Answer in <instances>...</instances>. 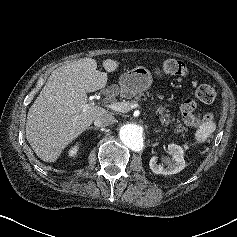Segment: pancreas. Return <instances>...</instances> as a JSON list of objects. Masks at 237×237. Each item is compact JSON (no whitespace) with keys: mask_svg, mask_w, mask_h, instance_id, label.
Instances as JSON below:
<instances>
[{"mask_svg":"<svg viewBox=\"0 0 237 237\" xmlns=\"http://www.w3.org/2000/svg\"><path fill=\"white\" fill-rule=\"evenodd\" d=\"M140 101H142L141 95L135 97L130 102L128 101V102H124V103L135 104V103H138ZM168 112H169V110H167L165 107H159L157 109V113L159 114V121L164 126H167V125H169V124H171L175 121V118L171 117ZM177 122L179 123L178 119H177ZM184 130H186V128L184 126H182V124L179 123L178 125H175V131L176 132L183 133Z\"/></svg>","mask_w":237,"mask_h":237,"instance_id":"obj_1","label":"pancreas"}]
</instances>
